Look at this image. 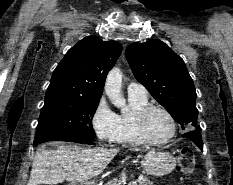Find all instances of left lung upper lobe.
<instances>
[{"label":"left lung upper lobe","mask_w":233,"mask_h":185,"mask_svg":"<svg viewBox=\"0 0 233 185\" xmlns=\"http://www.w3.org/2000/svg\"><path fill=\"white\" fill-rule=\"evenodd\" d=\"M135 78L183 130L196 126V92L183 59L160 40L132 43L125 51Z\"/></svg>","instance_id":"obj_1"}]
</instances>
